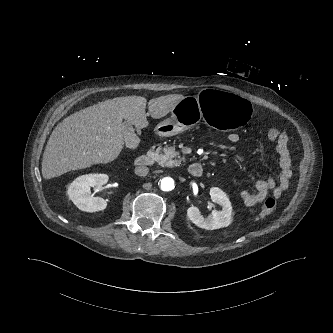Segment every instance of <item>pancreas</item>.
Returning a JSON list of instances; mask_svg holds the SVG:
<instances>
[{"label": "pancreas", "mask_w": 333, "mask_h": 333, "mask_svg": "<svg viewBox=\"0 0 333 333\" xmlns=\"http://www.w3.org/2000/svg\"><path fill=\"white\" fill-rule=\"evenodd\" d=\"M163 151V152H162ZM161 151V148H157L155 151L157 162L161 166H178L181 163L180 159H174V158H180L179 153L175 150V147L167 146Z\"/></svg>", "instance_id": "pancreas-1"}]
</instances>
